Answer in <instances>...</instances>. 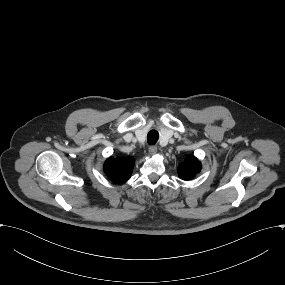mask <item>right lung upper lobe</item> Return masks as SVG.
I'll return each instance as SVG.
<instances>
[{
  "mask_svg": "<svg viewBox=\"0 0 285 285\" xmlns=\"http://www.w3.org/2000/svg\"><path fill=\"white\" fill-rule=\"evenodd\" d=\"M133 165V157H110L104 164V170L108 178L111 179L114 183H123L130 178L133 171Z\"/></svg>",
  "mask_w": 285,
  "mask_h": 285,
  "instance_id": "right-lung-upper-lobe-1",
  "label": "right lung upper lobe"
}]
</instances>
